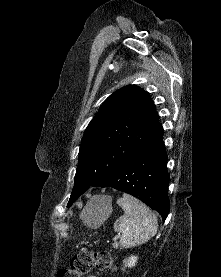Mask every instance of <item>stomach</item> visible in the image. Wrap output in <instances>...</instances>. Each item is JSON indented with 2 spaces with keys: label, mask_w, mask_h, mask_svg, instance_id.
Masks as SVG:
<instances>
[{
  "label": "stomach",
  "mask_w": 221,
  "mask_h": 277,
  "mask_svg": "<svg viewBox=\"0 0 221 277\" xmlns=\"http://www.w3.org/2000/svg\"><path fill=\"white\" fill-rule=\"evenodd\" d=\"M111 201L106 198L93 199L83 210L81 218L89 228L99 227L110 215Z\"/></svg>",
  "instance_id": "stomach-1"
}]
</instances>
